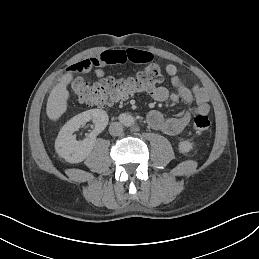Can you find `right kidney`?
I'll use <instances>...</instances> for the list:
<instances>
[{
    "instance_id": "right-kidney-1",
    "label": "right kidney",
    "mask_w": 259,
    "mask_h": 259,
    "mask_svg": "<svg viewBox=\"0 0 259 259\" xmlns=\"http://www.w3.org/2000/svg\"><path fill=\"white\" fill-rule=\"evenodd\" d=\"M91 119L95 128L86 139L77 141L72 135L73 132ZM107 124L108 115L102 109L87 110L70 119L62 127L55 141V150L58 157L69 164L82 163L91 154L96 136L106 128Z\"/></svg>"
}]
</instances>
